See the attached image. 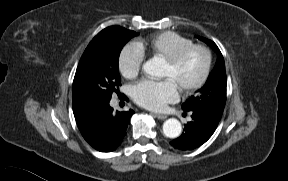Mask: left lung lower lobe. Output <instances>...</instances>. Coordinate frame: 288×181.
<instances>
[{"label":"left lung lower lobe","mask_w":288,"mask_h":181,"mask_svg":"<svg viewBox=\"0 0 288 181\" xmlns=\"http://www.w3.org/2000/svg\"><path fill=\"white\" fill-rule=\"evenodd\" d=\"M192 121L185 125L184 133L170 144L179 150H193L205 143L216 130L220 119L203 111H192Z\"/></svg>","instance_id":"left-lung-lower-lobe-1"}]
</instances>
